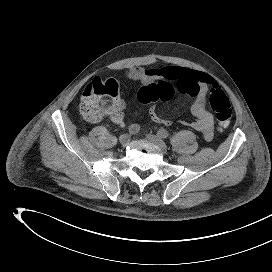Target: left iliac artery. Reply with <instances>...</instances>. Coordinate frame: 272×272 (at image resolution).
<instances>
[{"instance_id":"44dca946","label":"left iliac artery","mask_w":272,"mask_h":272,"mask_svg":"<svg viewBox=\"0 0 272 272\" xmlns=\"http://www.w3.org/2000/svg\"><path fill=\"white\" fill-rule=\"evenodd\" d=\"M157 135L160 137V138H163V139H166L169 137V133L165 130V129H159L157 131Z\"/></svg>"}]
</instances>
